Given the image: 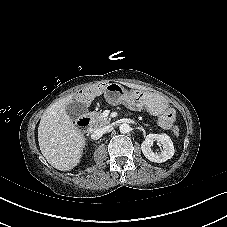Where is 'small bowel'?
Instances as JSON below:
<instances>
[{
	"mask_svg": "<svg viewBox=\"0 0 227 227\" xmlns=\"http://www.w3.org/2000/svg\"><path fill=\"white\" fill-rule=\"evenodd\" d=\"M174 120V115L171 110H168L158 119V125L163 129H170Z\"/></svg>",
	"mask_w": 227,
	"mask_h": 227,
	"instance_id": "small-bowel-1",
	"label": "small bowel"
}]
</instances>
